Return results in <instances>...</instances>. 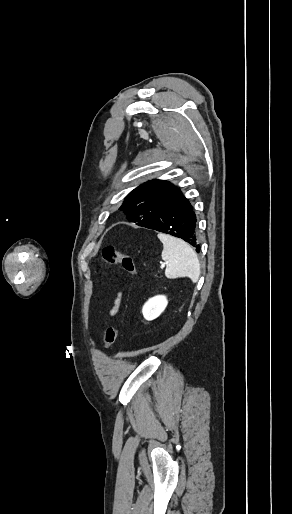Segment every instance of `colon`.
Returning a JSON list of instances; mask_svg holds the SVG:
<instances>
[{
  "label": "colon",
  "instance_id": "colon-1",
  "mask_svg": "<svg viewBox=\"0 0 292 514\" xmlns=\"http://www.w3.org/2000/svg\"><path fill=\"white\" fill-rule=\"evenodd\" d=\"M101 264L103 266H120L123 270L135 273L136 265L131 254H126L118 251L114 246H105L101 251ZM120 334L118 326H108L105 328L102 338L105 347H108L116 342Z\"/></svg>",
  "mask_w": 292,
  "mask_h": 514
}]
</instances>
